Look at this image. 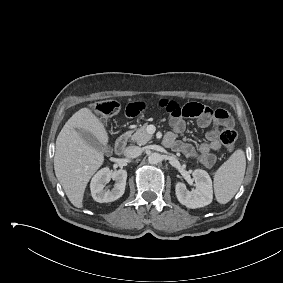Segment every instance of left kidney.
<instances>
[{
  "instance_id": "1",
  "label": "left kidney",
  "mask_w": 283,
  "mask_h": 283,
  "mask_svg": "<svg viewBox=\"0 0 283 283\" xmlns=\"http://www.w3.org/2000/svg\"><path fill=\"white\" fill-rule=\"evenodd\" d=\"M192 176L195 190L189 191L183 182L176 184L175 191L178 201L191 209L209 205L213 199L212 180L209 174L202 169H196Z\"/></svg>"
}]
</instances>
